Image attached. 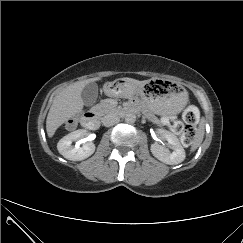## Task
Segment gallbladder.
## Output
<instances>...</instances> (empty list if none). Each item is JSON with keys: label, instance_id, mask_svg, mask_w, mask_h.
Here are the masks:
<instances>
[{"label": "gallbladder", "instance_id": "bac80fb5", "mask_svg": "<svg viewBox=\"0 0 243 243\" xmlns=\"http://www.w3.org/2000/svg\"><path fill=\"white\" fill-rule=\"evenodd\" d=\"M98 97V86L95 82L88 83L81 93V98L86 106L93 105Z\"/></svg>", "mask_w": 243, "mask_h": 243}]
</instances>
